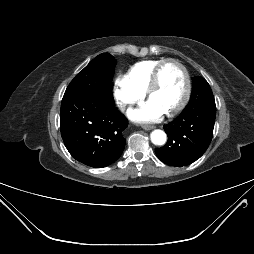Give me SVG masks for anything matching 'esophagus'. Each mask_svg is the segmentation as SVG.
Here are the masks:
<instances>
[{"mask_svg": "<svg viewBox=\"0 0 254 254\" xmlns=\"http://www.w3.org/2000/svg\"><path fill=\"white\" fill-rule=\"evenodd\" d=\"M142 128L144 129V130H152V129H154L155 127L154 126H151V125H143L142 126Z\"/></svg>", "mask_w": 254, "mask_h": 254, "instance_id": "esophagus-1", "label": "esophagus"}]
</instances>
